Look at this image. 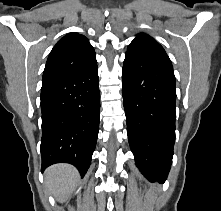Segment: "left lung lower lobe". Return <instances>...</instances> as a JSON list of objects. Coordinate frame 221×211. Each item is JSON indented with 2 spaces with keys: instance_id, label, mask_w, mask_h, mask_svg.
Instances as JSON below:
<instances>
[{
  "instance_id": "0a47b994",
  "label": "left lung lower lobe",
  "mask_w": 221,
  "mask_h": 211,
  "mask_svg": "<svg viewBox=\"0 0 221 211\" xmlns=\"http://www.w3.org/2000/svg\"><path fill=\"white\" fill-rule=\"evenodd\" d=\"M122 93L136 165L147 179L162 181L171 168L175 142L173 68L139 55H126Z\"/></svg>"
}]
</instances>
